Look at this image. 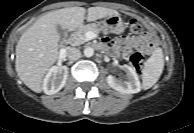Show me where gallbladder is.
Returning <instances> with one entry per match:
<instances>
[{
  "label": "gallbladder",
  "mask_w": 194,
  "mask_h": 133,
  "mask_svg": "<svg viewBox=\"0 0 194 133\" xmlns=\"http://www.w3.org/2000/svg\"><path fill=\"white\" fill-rule=\"evenodd\" d=\"M57 31L59 33L60 38L63 39L64 36H65V33H66L65 29H63L61 26L58 25L57 26Z\"/></svg>",
  "instance_id": "bac80fb5"
}]
</instances>
